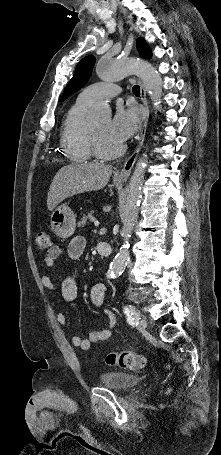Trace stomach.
<instances>
[{
    "label": "stomach",
    "instance_id": "stomach-1",
    "mask_svg": "<svg viewBox=\"0 0 221 455\" xmlns=\"http://www.w3.org/2000/svg\"><path fill=\"white\" fill-rule=\"evenodd\" d=\"M50 226L56 236L63 239L71 237L76 229L73 211L66 204L59 205L51 213Z\"/></svg>",
    "mask_w": 221,
    "mask_h": 455
}]
</instances>
